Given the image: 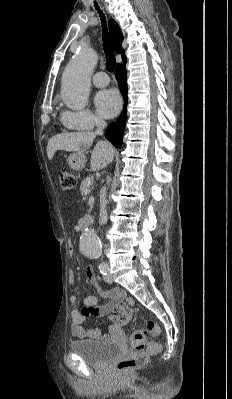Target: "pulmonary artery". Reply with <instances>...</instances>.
<instances>
[{
  "mask_svg": "<svg viewBox=\"0 0 232 399\" xmlns=\"http://www.w3.org/2000/svg\"><path fill=\"white\" fill-rule=\"evenodd\" d=\"M97 74V77H94V83L96 84V89L100 90L103 86L109 84V77L102 69H99Z\"/></svg>",
  "mask_w": 232,
  "mask_h": 399,
  "instance_id": "1",
  "label": "pulmonary artery"
}]
</instances>
